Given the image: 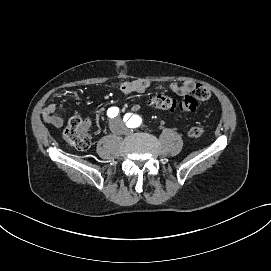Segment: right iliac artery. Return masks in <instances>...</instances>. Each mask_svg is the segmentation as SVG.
Returning a JSON list of instances; mask_svg holds the SVG:
<instances>
[{
    "label": "right iliac artery",
    "mask_w": 271,
    "mask_h": 271,
    "mask_svg": "<svg viewBox=\"0 0 271 271\" xmlns=\"http://www.w3.org/2000/svg\"><path fill=\"white\" fill-rule=\"evenodd\" d=\"M118 113H119V108H118V107H111V108H109L108 111H107V115H108V117H110V118L116 117V116L118 115ZM127 119H128V118H127Z\"/></svg>",
    "instance_id": "82829eb1"
}]
</instances>
